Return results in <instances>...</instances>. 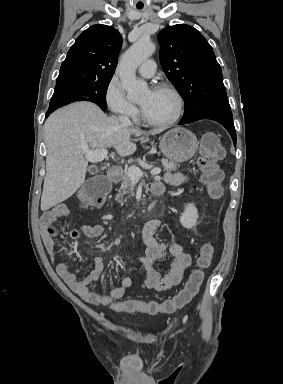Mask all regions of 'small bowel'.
Returning <instances> with one entry per match:
<instances>
[{"label": "small bowel", "mask_w": 283, "mask_h": 384, "mask_svg": "<svg viewBox=\"0 0 283 384\" xmlns=\"http://www.w3.org/2000/svg\"><path fill=\"white\" fill-rule=\"evenodd\" d=\"M188 182V178L181 173H167L162 182H157L164 190V184L180 186ZM68 215V209L64 204H56L46 211L41 217V231L45 248L50 255L51 261L56 268L60 278L85 302L93 305L116 304L132 285L128 277L120 280L119 285L109 291L108 294H98L89 289V284L95 281L102 273L105 265V258L99 256L94 260L93 268L82 279L69 269L66 263L61 260V249L54 241V229L52 224L60 218ZM161 227V221L152 219L146 222L142 229L143 241L146 245V255L138 257L137 260L145 267L147 277L142 284L144 289L164 291L179 285L185 271L191 265V257L181 244L166 243L156 239L155 233ZM81 232L88 238H97L104 232L100 224L83 225ZM170 255L169 272L162 276L156 267V262L166 260Z\"/></svg>", "instance_id": "small-bowel-1"}]
</instances>
